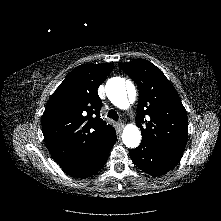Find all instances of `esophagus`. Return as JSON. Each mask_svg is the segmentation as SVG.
I'll return each mask as SVG.
<instances>
[{
    "label": "esophagus",
    "instance_id": "34e87169",
    "mask_svg": "<svg viewBox=\"0 0 221 221\" xmlns=\"http://www.w3.org/2000/svg\"><path fill=\"white\" fill-rule=\"evenodd\" d=\"M119 125H120L121 127H124V126L126 125V122H125L124 120H120V121H119Z\"/></svg>",
    "mask_w": 221,
    "mask_h": 221
}]
</instances>
